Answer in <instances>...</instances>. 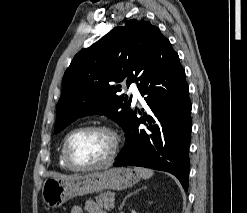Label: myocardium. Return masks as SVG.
I'll return each mask as SVG.
<instances>
[{"mask_svg":"<svg viewBox=\"0 0 247 213\" xmlns=\"http://www.w3.org/2000/svg\"><path fill=\"white\" fill-rule=\"evenodd\" d=\"M87 131H102L106 132L109 135H111L113 139V146L110 155L102 162L96 163V164H90V165H83L77 163L73 158L70 153V143L71 140L73 139L74 136H76L79 133L82 132H87ZM120 148V138L116 131L112 129L111 127L107 125H102V124H94V125H86V126H81L78 127L74 130H72L68 135L66 136L64 143H63V156L66 164L72 169L76 171H90V170H96V169H101L106 166L111 165L119 152Z\"/></svg>","mask_w":247,"mask_h":213,"instance_id":"obj_1","label":"myocardium"}]
</instances>
